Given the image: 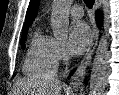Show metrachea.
<instances>
[{
  "label": "trachea",
  "instance_id": "1",
  "mask_svg": "<svg viewBox=\"0 0 119 95\" xmlns=\"http://www.w3.org/2000/svg\"><path fill=\"white\" fill-rule=\"evenodd\" d=\"M84 2L89 9L93 7L94 0H84Z\"/></svg>",
  "mask_w": 119,
  "mask_h": 95
}]
</instances>
